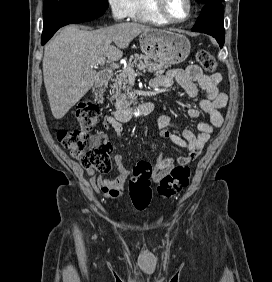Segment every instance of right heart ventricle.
Here are the masks:
<instances>
[{"label":"right heart ventricle","mask_w":272,"mask_h":282,"mask_svg":"<svg viewBox=\"0 0 272 282\" xmlns=\"http://www.w3.org/2000/svg\"><path fill=\"white\" fill-rule=\"evenodd\" d=\"M130 19L143 22L164 25L169 21L164 19L154 8L152 0H135V13Z\"/></svg>","instance_id":"1"}]
</instances>
